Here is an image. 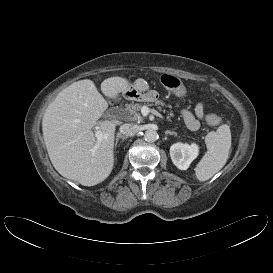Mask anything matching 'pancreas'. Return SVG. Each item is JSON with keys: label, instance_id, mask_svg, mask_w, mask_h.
Here are the masks:
<instances>
[{"label": "pancreas", "instance_id": "obj_1", "mask_svg": "<svg viewBox=\"0 0 273 273\" xmlns=\"http://www.w3.org/2000/svg\"><path fill=\"white\" fill-rule=\"evenodd\" d=\"M145 105V104H144ZM148 106H152L153 104H147ZM156 106H159V109L161 110V107L166 106L165 103L163 101H156L155 102ZM143 107V104H139V103H130L126 106V113L128 114L129 117L133 118V119H137L139 121L142 120L141 115L139 114V111L141 110V108ZM169 107L170 106H166ZM173 116V113L170 112L169 114H167V120L170 121L171 117Z\"/></svg>", "mask_w": 273, "mask_h": 273}]
</instances>
